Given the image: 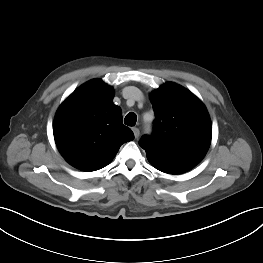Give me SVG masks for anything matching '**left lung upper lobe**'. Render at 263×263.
Wrapping results in <instances>:
<instances>
[{
  "label": "left lung upper lobe",
  "instance_id": "left-lung-upper-lobe-1",
  "mask_svg": "<svg viewBox=\"0 0 263 263\" xmlns=\"http://www.w3.org/2000/svg\"><path fill=\"white\" fill-rule=\"evenodd\" d=\"M156 115L152 136L139 145L146 155L158 159L197 165L211 143L212 126L204 104L189 90L166 83L150 95Z\"/></svg>",
  "mask_w": 263,
  "mask_h": 263
}]
</instances>
